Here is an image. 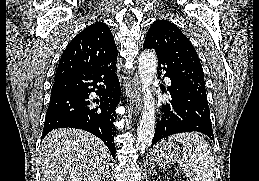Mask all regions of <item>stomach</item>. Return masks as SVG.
I'll return each mask as SVG.
<instances>
[{
	"label": "stomach",
	"mask_w": 259,
	"mask_h": 181,
	"mask_svg": "<svg viewBox=\"0 0 259 181\" xmlns=\"http://www.w3.org/2000/svg\"><path fill=\"white\" fill-rule=\"evenodd\" d=\"M181 149L171 141H162L151 153V161L166 167L180 159Z\"/></svg>",
	"instance_id": "1"
}]
</instances>
